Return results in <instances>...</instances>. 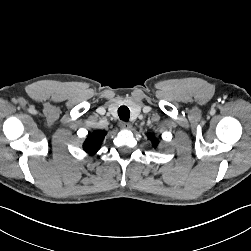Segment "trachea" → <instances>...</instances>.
<instances>
[{
    "label": "trachea",
    "instance_id": "1",
    "mask_svg": "<svg viewBox=\"0 0 251 251\" xmlns=\"http://www.w3.org/2000/svg\"><path fill=\"white\" fill-rule=\"evenodd\" d=\"M118 115L119 118L125 122L129 121V117H130V110L128 107L126 106H121L118 109Z\"/></svg>",
    "mask_w": 251,
    "mask_h": 251
}]
</instances>
